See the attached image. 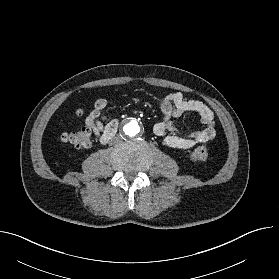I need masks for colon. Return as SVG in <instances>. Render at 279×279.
<instances>
[{"label":"colon","mask_w":279,"mask_h":279,"mask_svg":"<svg viewBox=\"0 0 279 279\" xmlns=\"http://www.w3.org/2000/svg\"><path fill=\"white\" fill-rule=\"evenodd\" d=\"M78 114H81V111H78ZM62 141L77 149L88 148L91 144V130L85 127L78 131L65 132L62 135ZM208 155V147L199 145L193 150L191 157L194 161L204 162L208 159Z\"/></svg>","instance_id":"1"}]
</instances>
